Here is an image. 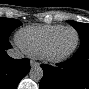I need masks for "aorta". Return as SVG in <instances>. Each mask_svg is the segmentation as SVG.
<instances>
[{
	"label": "aorta",
	"instance_id": "aorta-1",
	"mask_svg": "<svg viewBox=\"0 0 89 89\" xmlns=\"http://www.w3.org/2000/svg\"><path fill=\"white\" fill-rule=\"evenodd\" d=\"M43 70L40 66H33L29 72V76L34 81H39L43 77Z\"/></svg>",
	"mask_w": 89,
	"mask_h": 89
}]
</instances>
